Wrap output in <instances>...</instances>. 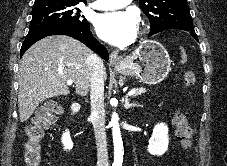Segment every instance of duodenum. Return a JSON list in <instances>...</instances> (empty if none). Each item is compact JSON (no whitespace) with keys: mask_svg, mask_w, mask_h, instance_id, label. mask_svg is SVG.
<instances>
[{"mask_svg":"<svg viewBox=\"0 0 227 166\" xmlns=\"http://www.w3.org/2000/svg\"><path fill=\"white\" fill-rule=\"evenodd\" d=\"M80 110H81V104L77 101L73 102L71 105V118L74 120L75 126L79 130L81 129V126L78 123H76L75 118H76L77 113Z\"/></svg>","mask_w":227,"mask_h":166,"instance_id":"410a0bca","label":"duodenum"}]
</instances>
